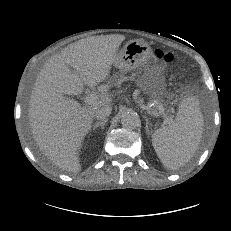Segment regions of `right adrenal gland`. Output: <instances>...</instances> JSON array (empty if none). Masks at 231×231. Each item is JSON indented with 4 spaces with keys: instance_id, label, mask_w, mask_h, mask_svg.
<instances>
[{
    "instance_id": "obj_1",
    "label": "right adrenal gland",
    "mask_w": 231,
    "mask_h": 231,
    "mask_svg": "<svg viewBox=\"0 0 231 231\" xmlns=\"http://www.w3.org/2000/svg\"><path fill=\"white\" fill-rule=\"evenodd\" d=\"M106 122L107 120L96 122L95 125L93 126V132H95L98 127H101V129H104Z\"/></svg>"
}]
</instances>
